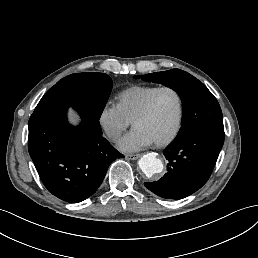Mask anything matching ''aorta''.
I'll list each match as a JSON object with an SVG mask.
<instances>
[{
  "instance_id": "762f6f07",
  "label": "aorta",
  "mask_w": 258,
  "mask_h": 258,
  "mask_svg": "<svg viewBox=\"0 0 258 258\" xmlns=\"http://www.w3.org/2000/svg\"><path fill=\"white\" fill-rule=\"evenodd\" d=\"M138 164L142 172L148 178L161 173L164 168L162 161L156 157L155 153H148L143 155L138 161Z\"/></svg>"
}]
</instances>
